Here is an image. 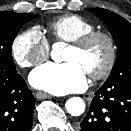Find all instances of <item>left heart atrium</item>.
<instances>
[{
    "label": "left heart atrium",
    "instance_id": "1",
    "mask_svg": "<svg viewBox=\"0 0 131 131\" xmlns=\"http://www.w3.org/2000/svg\"><path fill=\"white\" fill-rule=\"evenodd\" d=\"M29 80L33 87L57 95L82 91L87 86L85 71L74 61L43 64L32 71Z\"/></svg>",
    "mask_w": 131,
    "mask_h": 131
}]
</instances>
